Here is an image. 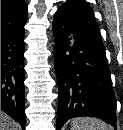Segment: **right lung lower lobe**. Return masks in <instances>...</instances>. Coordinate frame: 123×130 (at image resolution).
<instances>
[{
    "label": "right lung lower lobe",
    "mask_w": 123,
    "mask_h": 130,
    "mask_svg": "<svg viewBox=\"0 0 123 130\" xmlns=\"http://www.w3.org/2000/svg\"><path fill=\"white\" fill-rule=\"evenodd\" d=\"M26 24V23H25ZM1 28V109L25 128L24 25Z\"/></svg>",
    "instance_id": "1"
}]
</instances>
